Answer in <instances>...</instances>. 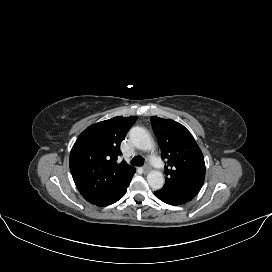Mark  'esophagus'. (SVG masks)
Segmentation results:
<instances>
[{
	"label": "esophagus",
	"mask_w": 272,
	"mask_h": 272,
	"mask_svg": "<svg viewBox=\"0 0 272 272\" xmlns=\"http://www.w3.org/2000/svg\"><path fill=\"white\" fill-rule=\"evenodd\" d=\"M145 173H148L151 170V167L149 165L144 166L143 168Z\"/></svg>",
	"instance_id": "1"
}]
</instances>
